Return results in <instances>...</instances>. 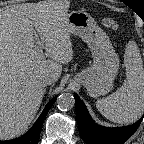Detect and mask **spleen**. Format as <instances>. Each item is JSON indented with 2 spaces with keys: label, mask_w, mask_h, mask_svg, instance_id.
I'll return each instance as SVG.
<instances>
[{
  "label": "spleen",
  "mask_w": 144,
  "mask_h": 144,
  "mask_svg": "<svg viewBox=\"0 0 144 144\" xmlns=\"http://www.w3.org/2000/svg\"><path fill=\"white\" fill-rule=\"evenodd\" d=\"M126 74L127 78L120 90L95 102L98 111L116 123L134 120L144 108V74L137 55L126 64Z\"/></svg>",
  "instance_id": "1"
}]
</instances>
